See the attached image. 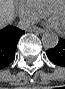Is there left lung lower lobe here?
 Wrapping results in <instances>:
<instances>
[{
	"mask_svg": "<svg viewBox=\"0 0 65 89\" xmlns=\"http://www.w3.org/2000/svg\"><path fill=\"white\" fill-rule=\"evenodd\" d=\"M46 54L53 63L65 67V38H60L57 46L47 50Z\"/></svg>",
	"mask_w": 65,
	"mask_h": 89,
	"instance_id": "1",
	"label": "left lung lower lobe"
}]
</instances>
